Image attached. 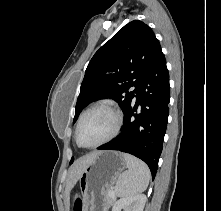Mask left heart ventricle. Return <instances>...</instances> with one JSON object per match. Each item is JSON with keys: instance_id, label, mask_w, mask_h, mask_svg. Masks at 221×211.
<instances>
[{"instance_id": "1", "label": "left heart ventricle", "mask_w": 221, "mask_h": 211, "mask_svg": "<svg viewBox=\"0 0 221 211\" xmlns=\"http://www.w3.org/2000/svg\"><path fill=\"white\" fill-rule=\"evenodd\" d=\"M114 127V116L105 109L90 112L83 120L79 140L83 145L95 144L106 138Z\"/></svg>"}]
</instances>
